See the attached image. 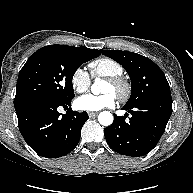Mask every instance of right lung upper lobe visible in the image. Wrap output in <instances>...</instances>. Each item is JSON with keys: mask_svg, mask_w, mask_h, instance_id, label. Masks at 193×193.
<instances>
[{"mask_svg": "<svg viewBox=\"0 0 193 193\" xmlns=\"http://www.w3.org/2000/svg\"><path fill=\"white\" fill-rule=\"evenodd\" d=\"M59 46H64V45H59ZM72 47V46H70ZM78 51H81V52H87V53H90V54H93L95 55L96 57H98L100 55V51L97 50V49H89V48H86V47H72Z\"/></svg>", "mask_w": 193, "mask_h": 193, "instance_id": "cb5924a9", "label": "right lung upper lobe"}]
</instances>
